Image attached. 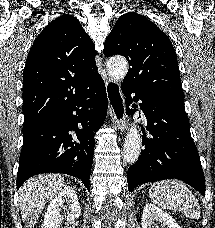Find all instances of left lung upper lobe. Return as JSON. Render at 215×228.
I'll list each match as a JSON object with an SVG mask.
<instances>
[{
	"label": "left lung upper lobe",
	"instance_id": "1",
	"mask_svg": "<svg viewBox=\"0 0 215 228\" xmlns=\"http://www.w3.org/2000/svg\"><path fill=\"white\" fill-rule=\"evenodd\" d=\"M115 54L129 62L123 87L143 96L184 99L174 47L146 17L134 12L120 16L105 41L104 55Z\"/></svg>",
	"mask_w": 215,
	"mask_h": 228
}]
</instances>
